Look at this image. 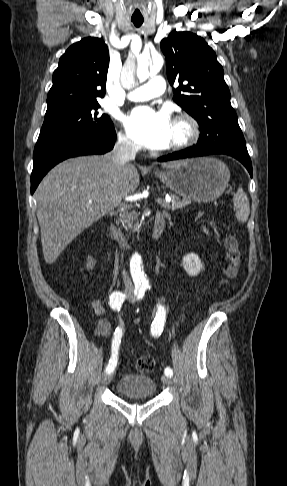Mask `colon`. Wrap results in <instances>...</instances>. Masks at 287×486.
I'll use <instances>...</instances> for the list:
<instances>
[{"label":"colon","instance_id":"5ec220e1","mask_svg":"<svg viewBox=\"0 0 287 486\" xmlns=\"http://www.w3.org/2000/svg\"><path fill=\"white\" fill-rule=\"evenodd\" d=\"M225 249L229 260V265L226 270L228 278H233L237 275L240 265V252L237 240L233 236H228L225 240ZM134 367L137 371L147 373L154 368V360L150 356H140L135 359Z\"/></svg>","mask_w":287,"mask_h":486}]
</instances>
